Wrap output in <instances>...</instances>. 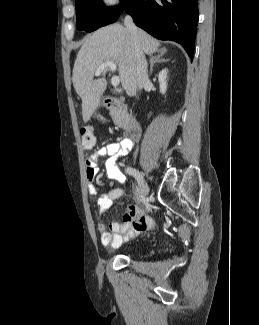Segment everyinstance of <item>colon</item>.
I'll return each instance as SVG.
<instances>
[{
	"instance_id": "colon-1",
	"label": "colon",
	"mask_w": 259,
	"mask_h": 325,
	"mask_svg": "<svg viewBox=\"0 0 259 325\" xmlns=\"http://www.w3.org/2000/svg\"><path fill=\"white\" fill-rule=\"evenodd\" d=\"M81 146L84 151H90L95 145L94 131L91 126H84L80 129Z\"/></svg>"
}]
</instances>
